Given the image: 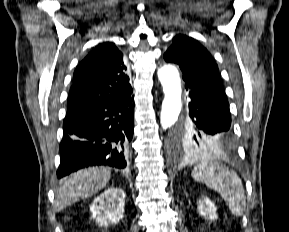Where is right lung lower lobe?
<instances>
[{"mask_svg":"<svg viewBox=\"0 0 289 232\" xmlns=\"http://www.w3.org/2000/svg\"><path fill=\"white\" fill-rule=\"evenodd\" d=\"M131 93L67 111L58 178L93 165L126 167L128 142L134 132Z\"/></svg>","mask_w":289,"mask_h":232,"instance_id":"right-lung-lower-lobe-1","label":"right lung lower lobe"}]
</instances>
